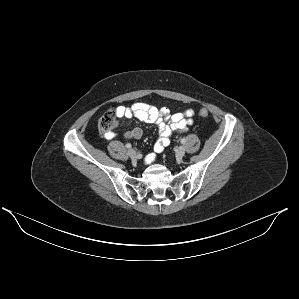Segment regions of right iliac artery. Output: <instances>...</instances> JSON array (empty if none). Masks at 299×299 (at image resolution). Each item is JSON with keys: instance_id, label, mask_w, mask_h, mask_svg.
I'll return each instance as SVG.
<instances>
[{"instance_id": "obj_1", "label": "right iliac artery", "mask_w": 299, "mask_h": 299, "mask_svg": "<svg viewBox=\"0 0 299 299\" xmlns=\"http://www.w3.org/2000/svg\"><path fill=\"white\" fill-rule=\"evenodd\" d=\"M126 148L130 149L132 147V145L130 143H127L126 145Z\"/></svg>"}]
</instances>
